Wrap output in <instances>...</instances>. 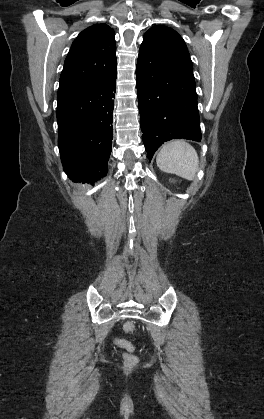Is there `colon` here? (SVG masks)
<instances>
[{
	"label": "colon",
	"mask_w": 264,
	"mask_h": 419,
	"mask_svg": "<svg viewBox=\"0 0 264 419\" xmlns=\"http://www.w3.org/2000/svg\"><path fill=\"white\" fill-rule=\"evenodd\" d=\"M124 330L127 333H132L135 330V325L133 322H127L124 325ZM116 345L126 350V353L124 354V364L127 367H134L138 363V358L135 354H133L134 346L128 342L125 339H116L115 340Z\"/></svg>",
	"instance_id": "obj_1"
}]
</instances>
